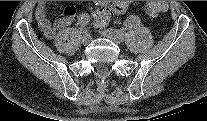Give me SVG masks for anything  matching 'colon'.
Returning a JSON list of instances; mask_svg holds the SVG:
<instances>
[{"label":"colon","mask_w":207,"mask_h":121,"mask_svg":"<svg viewBox=\"0 0 207 121\" xmlns=\"http://www.w3.org/2000/svg\"><path fill=\"white\" fill-rule=\"evenodd\" d=\"M167 4L161 1H149L144 6L147 15L154 17L167 10ZM115 14V6L106 4L101 5L93 13V19L97 26L106 25Z\"/></svg>","instance_id":"5ec220e1"}]
</instances>
